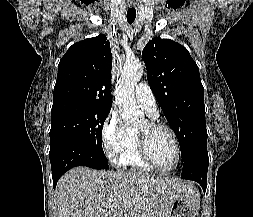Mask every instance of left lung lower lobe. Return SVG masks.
<instances>
[{
    "instance_id": "1",
    "label": "left lung lower lobe",
    "mask_w": 253,
    "mask_h": 217,
    "mask_svg": "<svg viewBox=\"0 0 253 217\" xmlns=\"http://www.w3.org/2000/svg\"><path fill=\"white\" fill-rule=\"evenodd\" d=\"M208 165L207 148L197 149L183 162L181 178L198 182L205 192L207 188Z\"/></svg>"
}]
</instances>
